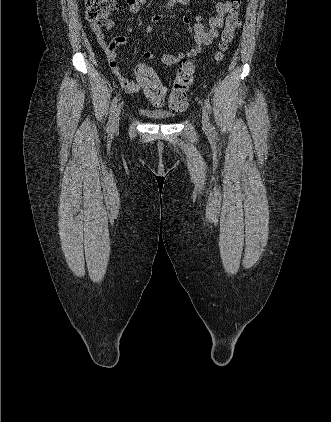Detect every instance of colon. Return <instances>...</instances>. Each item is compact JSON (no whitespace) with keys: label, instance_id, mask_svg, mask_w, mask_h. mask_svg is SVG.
Here are the masks:
<instances>
[{"label":"colon","instance_id":"5ec220e1","mask_svg":"<svg viewBox=\"0 0 331 422\" xmlns=\"http://www.w3.org/2000/svg\"><path fill=\"white\" fill-rule=\"evenodd\" d=\"M231 7L226 18L225 27L221 33L215 59L220 60L235 37V31L240 26L241 0H230ZM87 20L96 25L103 24L117 9V0H84ZM196 63L194 59H186L179 64L172 89L169 95V107L175 112L184 111L188 106L187 92L194 81ZM137 80L143 86V93L150 101L157 102L164 98L165 87L159 81L155 71L144 64L135 69Z\"/></svg>","mask_w":331,"mask_h":422}]
</instances>
